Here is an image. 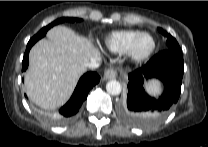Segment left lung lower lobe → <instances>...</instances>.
Returning <instances> with one entry per match:
<instances>
[{"mask_svg": "<svg viewBox=\"0 0 208 147\" xmlns=\"http://www.w3.org/2000/svg\"><path fill=\"white\" fill-rule=\"evenodd\" d=\"M184 73L182 52L165 49L156 54L143 68L128 75V95L120 113L134 124H144L165 115L178 101ZM158 78L164 84V92L159 99L151 98L143 88L144 80Z\"/></svg>", "mask_w": 208, "mask_h": 147, "instance_id": "obj_1", "label": "left lung lower lobe"}]
</instances>
